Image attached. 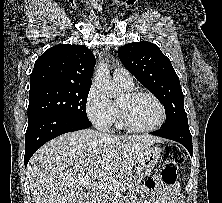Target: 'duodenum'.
<instances>
[{"label":"duodenum","mask_w":222,"mask_h":203,"mask_svg":"<svg viewBox=\"0 0 222 203\" xmlns=\"http://www.w3.org/2000/svg\"><path fill=\"white\" fill-rule=\"evenodd\" d=\"M88 203H98V194L97 193L90 194Z\"/></svg>","instance_id":"410a0bca"}]
</instances>
